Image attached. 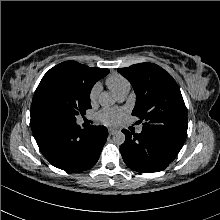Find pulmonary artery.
Instances as JSON below:
<instances>
[{"instance_id": "e3ab8cb5", "label": "pulmonary artery", "mask_w": 220, "mask_h": 220, "mask_svg": "<svg viewBox=\"0 0 220 220\" xmlns=\"http://www.w3.org/2000/svg\"><path fill=\"white\" fill-rule=\"evenodd\" d=\"M128 93H129V88L124 89L120 93L117 94V97L119 100H124L127 97ZM141 132H142V128L139 127L137 129V133H141Z\"/></svg>"}]
</instances>
